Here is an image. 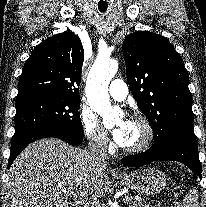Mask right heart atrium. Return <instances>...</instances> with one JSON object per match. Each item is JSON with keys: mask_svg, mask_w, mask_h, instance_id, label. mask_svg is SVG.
<instances>
[{"mask_svg": "<svg viewBox=\"0 0 206 207\" xmlns=\"http://www.w3.org/2000/svg\"><path fill=\"white\" fill-rule=\"evenodd\" d=\"M79 121L86 138L94 147L99 149L111 147L107 131L101 126L96 115L89 108H80Z\"/></svg>", "mask_w": 206, "mask_h": 207, "instance_id": "right-heart-atrium-1", "label": "right heart atrium"}]
</instances>
